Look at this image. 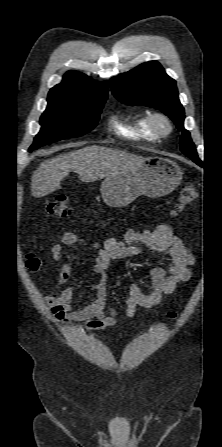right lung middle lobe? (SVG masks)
<instances>
[{
  "instance_id": "dd1d6c3e",
  "label": "right lung middle lobe",
  "mask_w": 222,
  "mask_h": 447,
  "mask_svg": "<svg viewBox=\"0 0 222 447\" xmlns=\"http://www.w3.org/2000/svg\"><path fill=\"white\" fill-rule=\"evenodd\" d=\"M106 99V96L75 97L49 93L48 106L40 118L41 130L29 151L92 130Z\"/></svg>"
}]
</instances>
